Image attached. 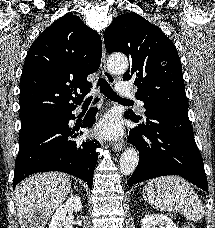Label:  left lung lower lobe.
Wrapping results in <instances>:
<instances>
[{
    "mask_svg": "<svg viewBox=\"0 0 215 228\" xmlns=\"http://www.w3.org/2000/svg\"><path fill=\"white\" fill-rule=\"evenodd\" d=\"M185 108H156L129 133L139 163L128 186L165 175H179L208 192L204 164ZM128 118L127 114L124 115ZM137 121V122H138Z\"/></svg>",
    "mask_w": 215,
    "mask_h": 228,
    "instance_id": "0a47b994",
    "label": "left lung lower lobe"
}]
</instances>
